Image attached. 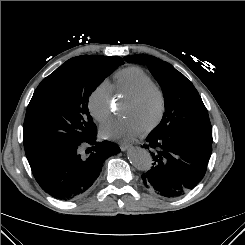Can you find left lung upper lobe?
<instances>
[{
  "label": "left lung upper lobe",
  "mask_w": 245,
  "mask_h": 245,
  "mask_svg": "<svg viewBox=\"0 0 245 245\" xmlns=\"http://www.w3.org/2000/svg\"><path fill=\"white\" fill-rule=\"evenodd\" d=\"M125 61L147 65L162 88L165 113L151 133H188L212 143L208 111L191 81L169 63L154 56L138 54Z\"/></svg>",
  "instance_id": "left-lung-upper-lobe-1"
}]
</instances>
